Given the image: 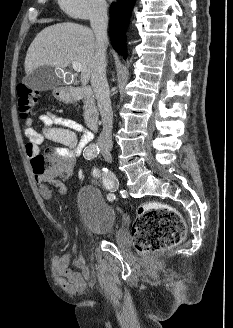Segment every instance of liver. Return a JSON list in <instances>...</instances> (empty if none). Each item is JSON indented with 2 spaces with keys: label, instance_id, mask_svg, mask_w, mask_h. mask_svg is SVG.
Instances as JSON below:
<instances>
[{
  "label": "liver",
  "instance_id": "liver-1",
  "mask_svg": "<svg viewBox=\"0 0 233 328\" xmlns=\"http://www.w3.org/2000/svg\"><path fill=\"white\" fill-rule=\"evenodd\" d=\"M96 51L94 32L76 23H58L37 34L28 48L25 72L31 73L40 66L49 65L65 69L73 61L82 65L81 84L87 85Z\"/></svg>",
  "mask_w": 233,
  "mask_h": 328
}]
</instances>
